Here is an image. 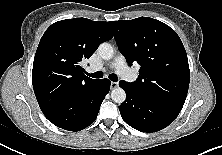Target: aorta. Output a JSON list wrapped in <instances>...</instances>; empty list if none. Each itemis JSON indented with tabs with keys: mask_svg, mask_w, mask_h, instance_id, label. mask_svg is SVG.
Wrapping results in <instances>:
<instances>
[{
	"mask_svg": "<svg viewBox=\"0 0 222 155\" xmlns=\"http://www.w3.org/2000/svg\"><path fill=\"white\" fill-rule=\"evenodd\" d=\"M98 54L102 59L109 60L114 55V49L111 44L104 42L99 45ZM111 98L116 103H123L126 99V93L122 88L117 87L112 90Z\"/></svg>",
	"mask_w": 222,
	"mask_h": 155,
	"instance_id": "aorta-1",
	"label": "aorta"
}]
</instances>
